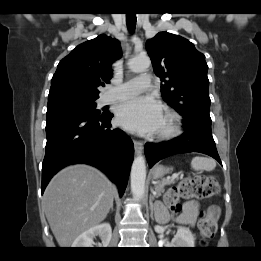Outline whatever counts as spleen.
<instances>
[{
    "mask_svg": "<svg viewBox=\"0 0 261 261\" xmlns=\"http://www.w3.org/2000/svg\"><path fill=\"white\" fill-rule=\"evenodd\" d=\"M191 167L196 171H212L216 167V162L212 158L196 156L191 160Z\"/></svg>",
    "mask_w": 261,
    "mask_h": 261,
    "instance_id": "1",
    "label": "spleen"
}]
</instances>
